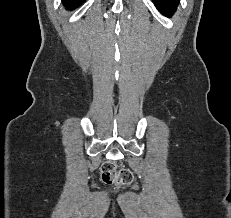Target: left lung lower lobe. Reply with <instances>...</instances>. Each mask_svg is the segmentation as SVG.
I'll list each match as a JSON object with an SVG mask.
<instances>
[{"instance_id":"0a47b994","label":"left lung lower lobe","mask_w":231,"mask_h":218,"mask_svg":"<svg viewBox=\"0 0 231 218\" xmlns=\"http://www.w3.org/2000/svg\"><path fill=\"white\" fill-rule=\"evenodd\" d=\"M157 9L164 15H171L176 10L180 0H152Z\"/></svg>"}]
</instances>
